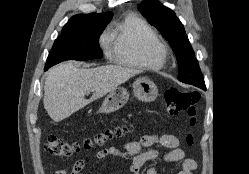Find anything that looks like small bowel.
<instances>
[{
  "label": "small bowel",
  "instance_id": "c3829d8e",
  "mask_svg": "<svg viewBox=\"0 0 249 174\" xmlns=\"http://www.w3.org/2000/svg\"><path fill=\"white\" fill-rule=\"evenodd\" d=\"M155 145L168 148L165 153L152 148ZM146 149V150H145ZM107 157H116L131 161L130 172L140 174L145 163L158 160L162 163L181 162L177 174H193L197 169V162L191 158H184V152L180 148V138L174 134H149L142 136L139 140L127 142L122 149L116 147H106L96 153L97 160ZM86 167V160L79 159L71 167L62 168L53 174H81ZM145 174H167L158 168L149 167Z\"/></svg>",
  "mask_w": 249,
  "mask_h": 174
}]
</instances>
